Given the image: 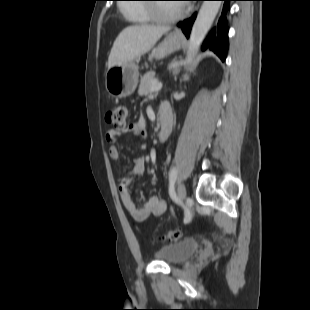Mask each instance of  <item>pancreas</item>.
Segmentation results:
<instances>
[{
	"mask_svg": "<svg viewBox=\"0 0 310 310\" xmlns=\"http://www.w3.org/2000/svg\"><path fill=\"white\" fill-rule=\"evenodd\" d=\"M155 83H157V80L155 79V73L154 72L146 73L141 78L138 94L140 96H147L148 94L152 93L151 87Z\"/></svg>",
	"mask_w": 310,
	"mask_h": 310,
	"instance_id": "cf45deb5",
	"label": "pancreas"
}]
</instances>
